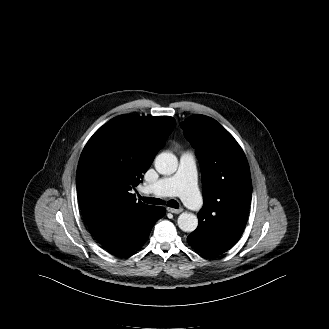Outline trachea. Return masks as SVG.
I'll list each match as a JSON object with an SVG mask.
<instances>
[{"instance_id": "3493384b", "label": "trachea", "mask_w": 329, "mask_h": 329, "mask_svg": "<svg viewBox=\"0 0 329 329\" xmlns=\"http://www.w3.org/2000/svg\"><path fill=\"white\" fill-rule=\"evenodd\" d=\"M139 198L144 201L145 203H148V204H154V205H164L165 204V201L159 199V198H150V197H141L139 196ZM167 205L169 207H172V208H175V209H178L179 207V204L176 200H169L167 202Z\"/></svg>"}]
</instances>
